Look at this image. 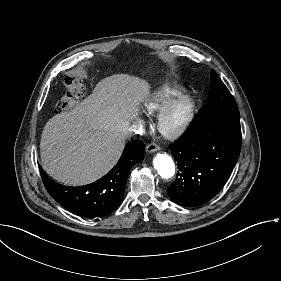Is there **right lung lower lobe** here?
<instances>
[{"label": "right lung lower lobe", "mask_w": 281, "mask_h": 281, "mask_svg": "<svg viewBox=\"0 0 281 281\" xmlns=\"http://www.w3.org/2000/svg\"><path fill=\"white\" fill-rule=\"evenodd\" d=\"M144 153L141 141H131L116 166L107 175L85 186H63L49 179L42 169L41 177L49 194L69 211L82 217H104L121 204L128 171L143 160Z\"/></svg>", "instance_id": "obj_1"}]
</instances>
